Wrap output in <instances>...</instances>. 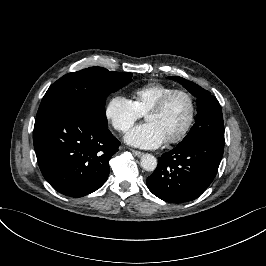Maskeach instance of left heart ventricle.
Masks as SVG:
<instances>
[{
	"label": "left heart ventricle",
	"instance_id": "b2bd125f",
	"mask_svg": "<svg viewBox=\"0 0 266 266\" xmlns=\"http://www.w3.org/2000/svg\"><path fill=\"white\" fill-rule=\"evenodd\" d=\"M190 116V103L184 95L174 96L161 112H151L145 116L147 122L155 124L165 139L176 137Z\"/></svg>",
	"mask_w": 266,
	"mask_h": 266
}]
</instances>
